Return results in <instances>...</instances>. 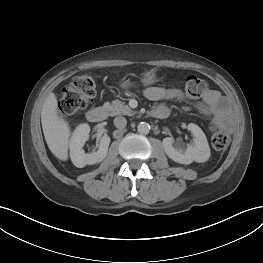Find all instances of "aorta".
I'll use <instances>...</instances> for the list:
<instances>
[{
  "label": "aorta",
  "instance_id": "obj_1",
  "mask_svg": "<svg viewBox=\"0 0 263 263\" xmlns=\"http://www.w3.org/2000/svg\"><path fill=\"white\" fill-rule=\"evenodd\" d=\"M137 130L140 134H148L150 131V125L146 122L139 123Z\"/></svg>",
  "mask_w": 263,
  "mask_h": 263
}]
</instances>
